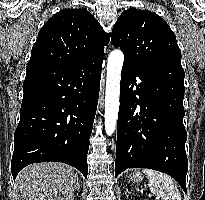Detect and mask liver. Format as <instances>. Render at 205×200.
Segmentation results:
<instances>
[{
	"label": "liver",
	"mask_w": 205,
	"mask_h": 200,
	"mask_svg": "<svg viewBox=\"0 0 205 200\" xmlns=\"http://www.w3.org/2000/svg\"><path fill=\"white\" fill-rule=\"evenodd\" d=\"M78 176L63 163H34L23 168L14 185L16 200H72Z\"/></svg>",
	"instance_id": "1"
}]
</instances>
